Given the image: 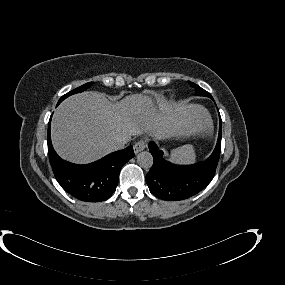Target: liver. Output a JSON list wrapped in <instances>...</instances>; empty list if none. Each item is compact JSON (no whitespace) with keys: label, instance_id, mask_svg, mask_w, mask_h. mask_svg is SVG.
Returning a JSON list of instances; mask_svg holds the SVG:
<instances>
[{"label":"liver","instance_id":"6515ba94","mask_svg":"<svg viewBox=\"0 0 285 285\" xmlns=\"http://www.w3.org/2000/svg\"><path fill=\"white\" fill-rule=\"evenodd\" d=\"M205 109L179 104L156 111L151 98L135 94L111 103L103 94L84 92L64 100L51 123L54 149L65 160L85 164L113 150L116 138L146 133L155 138L188 136L203 126ZM207 115V114H206Z\"/></svg>","mask_w":285,"mask_h":285}]
</instances>
